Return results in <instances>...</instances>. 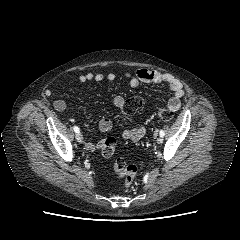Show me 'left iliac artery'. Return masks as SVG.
Instances as JSON below:
<instances>
[{
    "label": "left iliac artery",
    "mask_w": 240,
    "mask_h": 240,
    "mask_svg": "<svg viewBox=\"0 0 240 240\" xmlns=\"http://www.w3.org/2000/svg\"><path fill=\"white\" fill-rule=\"evenodd\" d=\"M159 134H160L161 137H164L165 132L163 130H161Z\"/></svg>",
    "instance_id": "1"
}]
</instances>
